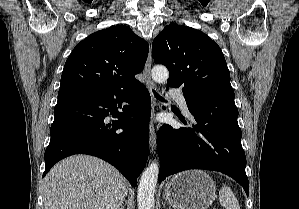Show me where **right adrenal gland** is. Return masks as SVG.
Masks as SVG:
<instances>
[{
  "label": "right adrenal gland",
  "mask_w": 299,
  "mask_h": 209,
  "mask_svg": "<svg viewBox=\"0 0 299 209\" xmlns=\"http://www.w3.org/2000/svg\"><path fill=\"white\" fill-rule=\"evenodd\" d=\"M120 209H124V207L123 206H121V208Z\"/></svg>",
  "instance_id": "1"
}]
</instances>
